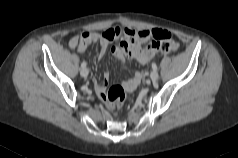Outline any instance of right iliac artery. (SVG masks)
Masks as SVG:
<instances>
[{
	"label": "right iliac artery",
	"mask_w": 238,
	"mask_h": 158,
	"mask_svg": "<svg viewBox=\"0 0 238 158\" xmlns=\"http://www.w3.org/2000/svg\"><path fill=\"white\" fill-rule=\"evenodd\" d=\"M86 65H87V63H86V62H83V63L81 64V67H82V68H85Z\"/></svg>",
	"instance_id": "82829eb1"
}]
</instances>
